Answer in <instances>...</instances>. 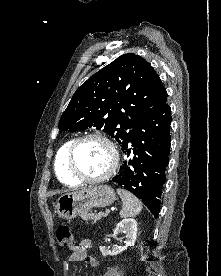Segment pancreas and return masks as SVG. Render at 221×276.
Returning <instances> with one entry per match:
<instances>
[{
	"instance_id": "pancreas-1",
	"label": "pancreas",
	"mask_w": 221,
	"mask_h": 276,
	"mask_svg": "<svg viewBox=\"0 0 221 276\" xmlns=\"http://www.w3.org/2000/svg\"><path fill=\"white\" fill-rule=\"evenodd\" d=\"M106 217L107 215L106 214H103V213H99V214H95V213H85V214H82L81 217L83 218V220L85 221H89L91 220L92 223H96L97 221H99L102 217Z\"/></svg>"
}]
</instances>
